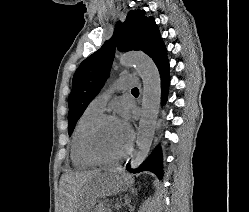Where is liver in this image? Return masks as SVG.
<instances>
[{
  "label": "liver",
  "mask_w": 249,
  "mask_h": 212,
  "mask_svg": "<svg viewBox=\"0 0 249 212\" xmlns=\"http://www.w3.org/2000/svg\"><path fill=\"white\" fill-rule=\"evenodd\" d=\"M91 178H95L93 192L96 198H104V196H115L118 192H123L127 174H125L123 168L106 170L104 174H100V170H94V172H69L65 178L69 194L67 212H78L81 200H83V188L86 182H90Z\"/></svg>",
  "instance_id": "1"
}]
</instances>
